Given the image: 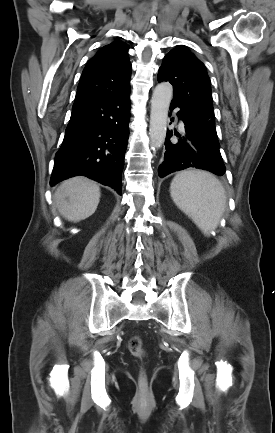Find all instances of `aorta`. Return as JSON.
Here are the masks:
<instances>
[{
  "label": "aorta",
  "instance_id": "1",
  "mask_svg": "<svg viewBox=\"0 0 275 433\" xmlns=\"http://www.w3.org/2000/svg\"><path fill=\"white\" fill-rule=\"evenodd\" d=\"M173 89L169 82L159 83L152 95L149 136L151 146L160 148L166 138L167 119Z\"/></svg>",
  "mask_w": 275,
  "mask_h": 433
}]
</instances>
